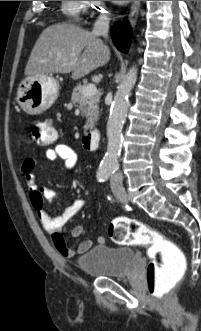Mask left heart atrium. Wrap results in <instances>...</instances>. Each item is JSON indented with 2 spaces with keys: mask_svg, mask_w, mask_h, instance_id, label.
<instances>
[{
  "mask_svg": "<svg viewBox=\"0 0 201 331\" xmlns=\"http://www.w3.org/2000/svg\"><path fill=\"white\" fill-rule=\"evenodd\" d=\"M113 2H115V3H117V4H125V3H127L128 1H113Z\"/></svg>",
  "mask_w": 201,
  "mask_h": 331,
  "instance_id": "left-heart-atrium-1",
  "label": "left heart atrium"
}]
</instances>
